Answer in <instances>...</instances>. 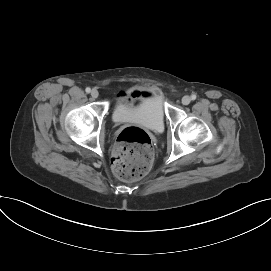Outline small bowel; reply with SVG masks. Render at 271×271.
Wrapping results in <instances>:
<instances>
[{"label": "small bowel", "mask_w": 271, "mask_h": 271, "mask_svg": "<svg viewBox=\"0 0 271 271\" xmlns=\"http://www.w3.org/2000/svg\"><path fill=\"white\" fill-rule=\"evenodd\" d=\"M148 94H149V93H146V92H139V91H136V92H134V93L132 94L131 99H132V101H134V100H137V99H139L140 97L145 96V95H148ZM121 99H122V100H126V99H127L126 95H125V94H122V95H121Z\"/></svg>", "instance_id": "small-bowel-1"}]
</instances>
